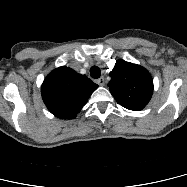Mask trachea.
<instances>
[{
  "label": "trachea",
  "instance_id": "3493384b",
  "mask_svg": "<svg viewBox=\"0 0 187 187\" xmlns=\"http://www.w3.org/2000/svg\"><path fill=\"white\" fill-rule=\"evenodd\" d=\"M90 75L92 78L97 79L101 76V70L97 66H92L90 68Z\"/></svg>",
  "mask_w": 187,
  "mask_h": 187
}]
</instances>
